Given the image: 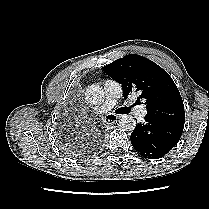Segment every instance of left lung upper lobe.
<instances>
[{
	"mask_svg": "<svg viewBox=\"0 0 209 209\" xmlns=\"http://www.w3.org/2000/svg\"><path fill=\"white\" fill-rule=\"evenodd\" d=\"M104 72L122 85L124 98L138 93L147 105L146 116L162 123L184 127L181 95L170 75L151 60L130 54L104 66Z\"/></svg>",
	"mask_w": 209,
	"mask_h": 209,
	"instance_id": "1",
	"label": "left lung upper lobe"
}]
</instances>
